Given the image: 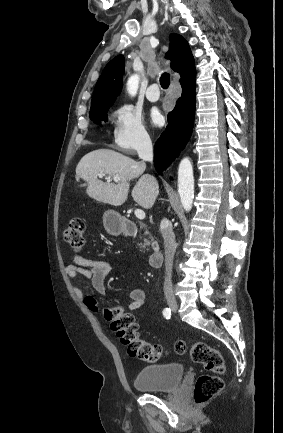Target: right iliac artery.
<instances>
[{
	"instance_id": "1",
	"label": "right iliac artery",
	"mask_w": 283,
	"mask_h": 433,
	"mask_svg": "<svg viewBox=\"0 0 283 433\" xmlns=\"http://www.w3.org/2000/svg\"><path fill=\"white\" fill-rule=\"evenodd\" d=\"M163 316H164L166 319H170V317H171V309H170V308H165V309L163 310Z\"/></svg>"
}]
</instances>
